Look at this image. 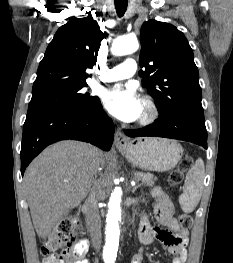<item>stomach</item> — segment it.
<instances>
[{
	"label": "stomach",
	"instance_id": "1",
	"mask_svg": "<svg viewBox=\"0 0 233 263\" xmlns=\"http://www.w3.org/2000/svg\"><path fill=\"white\" fill-rule=\"evenodd\" d=\"M134 166L164 172L174 168L182 157L179 143L163 138H138L119 148Z\"/></svg>",
	"mask_w": 233,
	"mask_h": 263
}]
</instances>
